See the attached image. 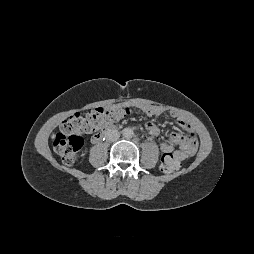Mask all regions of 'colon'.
I'll return each mask as SVG.
<instances>
[{
  "label": "colon",
  "mask_w": 254,
  "mask_h": 254,
  "mask_svg": "<svg viewBox=\"0 0 254 254\" xmlns=\"http://www.w3.org/2000/svg\"><path fill=\"white\" fill-rule=\"evenodd\" d=\"M129 107H97L85 115L76 113L62 122L59 132L53 141L54 150L65 165L74 164L84 145L83 135L109 128L124 114L130 113ZM179 168L178 161L169 154L163 155L161 170L165 174H173Z\"/></svg>",
  "instance_id": "5ec220e1"
}]
</instances>
